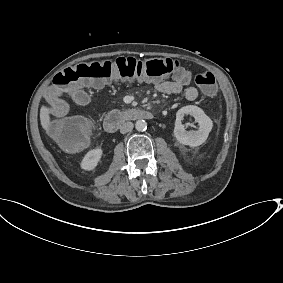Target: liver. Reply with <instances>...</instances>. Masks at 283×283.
<instances>
[{"label":"liver","mask_w":283,"mask_h":283,"mask_svg":"<svg viewBox=\"0 0 283 283\" xmlns=\"http://www.w3.org/2000/svg\"><path fill=\"white\" fill-rule=\"evenodd\" d=\"M50 110L49 108L42 106L40 109V120L42 127L46 130V133L49 134V125H50Z\"/></svg>","instance_id":"liver-1"}]
</instances>
